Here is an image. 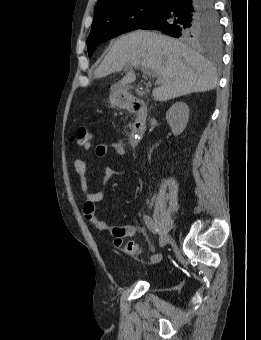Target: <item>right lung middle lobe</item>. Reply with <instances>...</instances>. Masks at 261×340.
<instances>
[{
    "instance_id": "right-lung-middle-lobe-1",
    "label": "right lung middle lobe",
    "mask_w": 261,
    "mask_h": 340,
    "mask_svg": "<svg viewBox=\"0 0 261 340\" xmlns=\"http://www.w3.org/2000/svg\"><path fill=\"white\" fill-rule=\"evenodd\" d=\"M163 0H147L114 8L93 21L87 39L89 57L96 47L126 31L140 28L159 10ZM179 37L184 40L212 41L221 40V27L216 11L210 15L196 14L187 19Z\"/></svg>"
}]
</instances>
